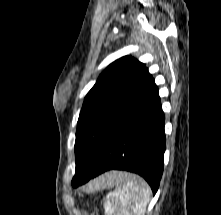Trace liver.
<instances>
[{
	"label": "liver",
	"instance_id": "obj_1",
	"mask_svg": "<svg viewBox=\"0 0 221 215\" xmlns=\"http://www.w3.org/2000/svg\"><path fill=\"white\" fill-rule=\"evenodd\" d=\"M111 176H112V173L105 174L101 176L100 178H98L97 180H95L94 182L90 183L89 186L99 187V186L107 185L111 180Z\"/></svg>",
	"mask_w": 221,
	"mask_h": 215
}]
</instances>
